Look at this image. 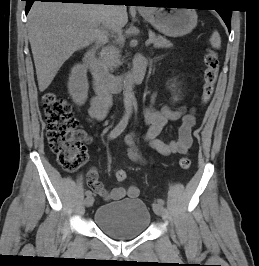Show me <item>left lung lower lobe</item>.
<instances>
[{
    "label": "left lung lower lobe",
    "mask_w": 259,
    "mask_h": 266,
    "mask_svg": "<svg viewBox=\"0 0 259 266\" xmlns=\"http://www.w3.org/2000/svg\"><path fill=\"white\" fill-rule=\"evenodd\" d=\"M174 1H180V3H190V0H156V2L154 3H166V4H170ZM221 16V18L224 20L225 24L228 27V30L230 32L231 30V15H232V11L229 9H218L217 10Z\"/></svg>",
    "instance_id": "1"
}]
</instances>
